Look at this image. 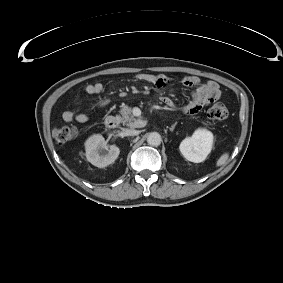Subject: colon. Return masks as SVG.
<instances>
[{
    "instance_id": "colon-1",
    "label": "colon",
    "mask_w": 283,
    "mask_h": 283,
    "mask_svg": "<svg viewBox=\"0 0 283 283\" xmlns=\"http://www.w3.org/2000/svg\"><path fill=\"white\" fill-rule=\"evenodd\" d=\"M208 116L212 120L221 121L227 118L228 110L223 104L216 103L209 108ZM77 135L78 130L74 126L63 125L53 130L54 139L60 144L74 140Z\"/></svg>"
}]
</instances>
